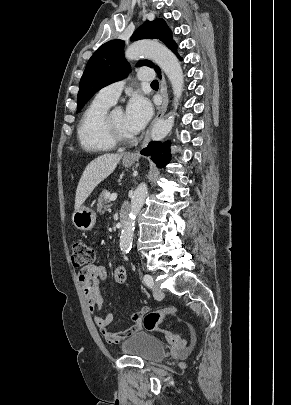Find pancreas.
<instances>
[{"label":"pancreas","instance_id":"obj_1","mask_svg":"<svg viewBox=\"0 0 291 405\" xmlns=\"http://www.w3.org/2000/svg\"><path fill=\"white\" fill-rule=\"evenodd\" d=\"M108 191L104 190L99 198H98V204H97V212L100 214H103L105 210L107 209L106 204L110 203V196H107Z\"/></svg>","mask_w":291,"mask_h":405}]
</instances>
